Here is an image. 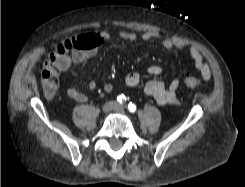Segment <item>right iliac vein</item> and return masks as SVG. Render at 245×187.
<instances>
[{"instance_id":"1","label":"right iliac vein","mask_w":245,"mask_h":187,"mask_svg":"<svg viewBox=\"0 0 245 187\" xmlns=\"http://www.w3.org/2000/svg\"><path fill=\"white\" fill-rule=\"evenodd\" d=\"M115 106H116V103L114 101H108L103 105L102 111L104 113H107L111 111L112 109H114Z\"/></svg>"}]
</instances>
